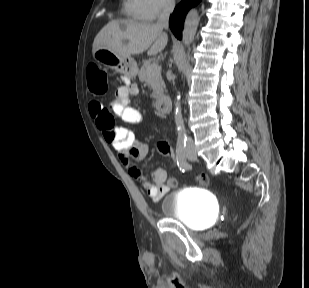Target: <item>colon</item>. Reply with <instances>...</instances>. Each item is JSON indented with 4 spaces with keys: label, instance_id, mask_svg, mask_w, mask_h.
Instances as JSON below:
<instances>
[{
    "label": "colon",
    "instance_id": "obj_1",
    "mask_svg": "<svg viewBox=\"0 0 309 288\" xmlns=\"http://www.w3.org/2000/svg\"><path fill=\"white\" fill-rule=\"evenodd\" d=\"M109 85V78L105 71L101 70L97 66H91L88 70V86L95 94H103ZM172 186L177 185V180L171 178L169 180ZM196 183L201 186H207L209 184V178L207 175H200L196 178Z\"/></svg>",
    "mask_w": 309,
    "mask_h": 288
}]
</instances>
